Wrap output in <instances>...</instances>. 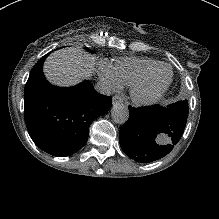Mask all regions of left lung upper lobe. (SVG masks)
Segmentation results:
<instances>
[{
    "instance_id": "left-lung-upper-lobe-1",
    "label": "left lung upper lobe",
    "mask_w": 219,
    "mask_h": 219,
    "mask_svg": "<svg viewBox=\"0 0 219 219\" xmlns=\"http://www.w3.org/2000/svg\"><path fill=\"white\" fill-rule=\"evenodd\" d=\"M168 108L173 109L182 115L188 116V102L187 100L178 101L176 103L168 105Z\"/></svg>"
}]
</instances>
